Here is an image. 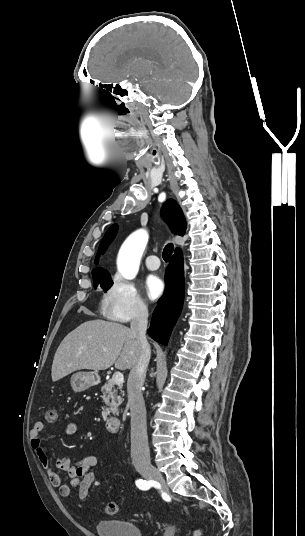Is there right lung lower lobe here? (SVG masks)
Returning a JSON list of instances; mask_svg holds the SVG:
<instances>
[{"mask_svg": "<svg viewBox=\"0 0 305 536\" xmlns=\"http://www.w3.org/2000/svg\"><path fill=\"white\" fill-rule=\"evenodd\" d=\"M164 296L153 313L147 333L157 342L167 345L170 333L180 315L184 299L183 256L175 253L166 269Z\"/></svg>", "mask_w": 305, "mask_h": 536, "instance_id": "right-lung-lower-lobe-1", "label": "right lung lower lobe"}]
</instances>
